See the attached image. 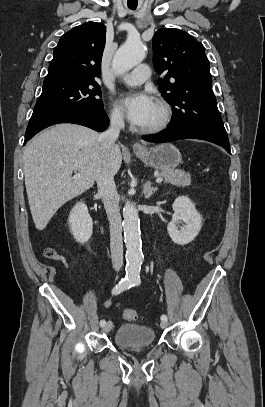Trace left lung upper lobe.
<instances>
[{
	"label": "left lung upper lobe",
	"instance_id": "1",
	"mask_svg": "<svg viewBox=\"0 0 265 407\" xmlns=\"http://www.w3.org/2000/svg\"><path fill=\"white\" fill-rule=\"evenodd\" d=\"M153 64L165 77L158 89L172 106L168 128H194L228 139L212 90L204 46L178 29H160L152 40Z\"/></svg>",
	"mask_w": 265,
	"mask_h": 407
}]
</instances>
